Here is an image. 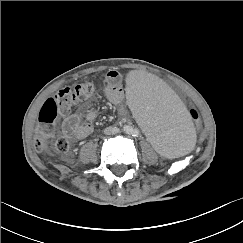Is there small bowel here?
Instances as JSON below:
<instances>
[{
    "label": "small bowel",
    "mask_w": 243,
    "mask_h": 243,
    "mask_svg": "<svg viewBox=\"0 0 243 243\" xmlns=\"http://www.w3.org/2000/svg\"><path fill=\"white\" fill-rule=\"evenodd\" d=\"M107 87L105 94L107 98L119 109L124 118L127 111L123 106L124 93L121 86V75L116 70H110L106 75ZM96 118L94 110L89 111L85 117L79 113L67 115L62 124V132L71 140L77 141L86 138L92 131V123Z\"/></svg>",
    "instance_id": "1"
}]
</instances>
